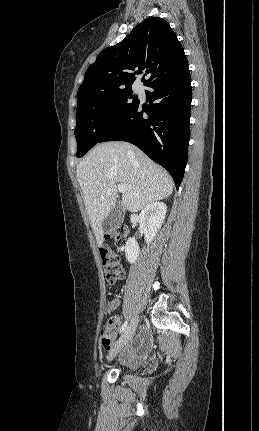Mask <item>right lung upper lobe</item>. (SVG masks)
<instances>
[{
	"mask_svg": "<svg viewBox=\"0 0 259 431\" xmlns=\"http://www.w3.org/2000/svg\"><path fill=\"white\" fill-rule=\"evenodd\" d=\"M188 63L184 49L168 22L149 17L120 43L101 51L87 69L78 89V104L87 97L131 88L136 75L146 69L149 86Z\"/></svg>",
	"mask_w": 259,
	"mask_h": 431,
	"instance_id": "right-lung-upper-lobe-1",
	"label": "right lung upper lobe"
}]
</instances>
